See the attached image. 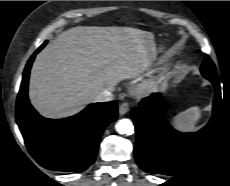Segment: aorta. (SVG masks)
I'll list each match as a JSON object with an SVG mask.
<instances>
[{"instance_id": "aorta-1", "label": "aorta", "mask_w": 230, "mask_h": 186, "mask_svg": "<svg viewBox=\"0 0 230 186\" xmlns=\"http://www.w3.org/2000/svg\"><path fill=\"white\" fill-rule=\"evenodd\" d=\"M116 131L121 135H132L134 133V126L129 119H120L116 126Z\"/></svg>"}]
</instances>
